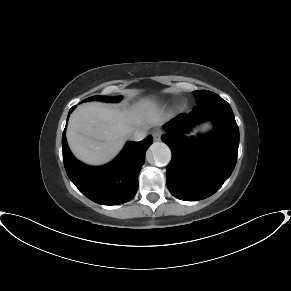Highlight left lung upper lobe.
Segmentation results:
<instances>
[{
  "instance_id": "5c2ea615",
  "label": "left lung upper lobe",
  "mask_w": 291,
  "mask_h": 291,
  "mask_svg": "<svg viewBox=\"0 0 291 291\" xmlns=\"http://www.w3.org/2000/svg\"><path fill=\"white\" fill-rule=\"evenodd\" d=\"M193 95L195 96L197 103H201L208 98L216 96L217 94L207 91V90H198V91H194Z\"/></svg>"
}]
</instances>
